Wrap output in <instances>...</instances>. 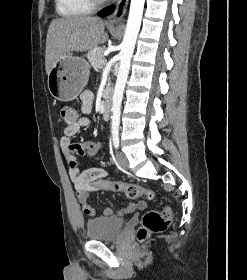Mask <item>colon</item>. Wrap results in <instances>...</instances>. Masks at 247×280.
<instances>
[{
    "label": "colon",
    "instance_id": "obj_1",
    "mask_svg": "<svg viewBox=\"0 0 247 280\" xmlns=\"http://www.w3.org/2000/svg\"><path fill=\"white\" fill-rule=\"evenodd\" d=\"M61 117L67 125L74 124L79 116L75 108L71 106H64L60 110ZM101 139L97 138L96 141H89L82 144H73L70 149L75 155L93 156L97 154L101 148ZM71 168H76V161H69ZM96 176V174H92ZM86 187L105 188L110 191L123 192L130 199H138L146 197L153 199L156 197V192L153 190L145 189L134 183H123L120 181H113L107 177L101 179H93L85 181ZM171 222V208L165 206L162 210H149L142 218V224L138 230L139 240L146 239L150 234L160 233L165 231Z\"/></svg>",
    "mask_w": 247,
    "mask_h": 280
}]
</instances>
